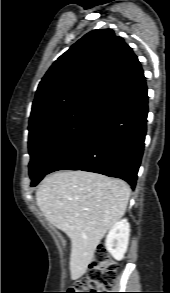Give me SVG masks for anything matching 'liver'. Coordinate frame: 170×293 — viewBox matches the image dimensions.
<instances>
[{
	"label": "liver",
	"mask_w": 170,
	"mask_h": 293,
	"mask_svg": "<svg viewBox=\"0 0 170 293\" xmlns=\"http://www.w3.org/2000/svg\"><path fill=\"white\" fill-rule=\"evenodd\" d=\"M129 185L120 179L60 171L43 180L36 201L43 215L71 240V279L85 274L106 232L124 215Z\"/></svg>",
	"instance_id": "6515ba94"
}]
</instances>
